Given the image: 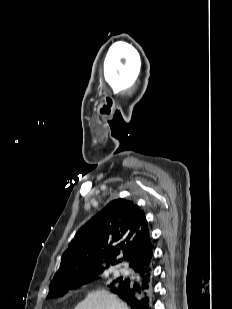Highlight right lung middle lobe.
<instances>
[{
	"label": "right lung middle lobe",
	"instance_id": "dd1d6c3e",
	"mask_svg": "<svg viewBox=\"0 0 232 309\" xmlns=\"http://www.w3.org/2000/svg\"><path fill=\"white\" fill-rule=\"evenodd\" d=\"M103 271H98L94 273H90L87 275L80 276L76 279L69 280V281H61L53 284L52 287L49 288V295L48 297H54L57 295L63 296L68 290L75 288L77 286L87 284L91 281L97 280L100 278V274H102ZM123 278H119L111 283V286H116ZM60 296V297H61Z\"/></svg>",
	"mask_w": 232,
	"mask_h": 309
}]
</instances>
